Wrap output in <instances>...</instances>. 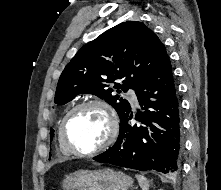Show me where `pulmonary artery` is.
Instances as JSON below:
<instances>
[{
    "label": "pulmonary artery",
    "instance_id": "1",
    "mask_svg": "<svg viewBox=\"0 0 221 190\" xmlns=\"http://www.w3.org/2000/svg\"><path fill=\"white\" fill-rule=\"evenodd\" d=\"M128 97L131 99V101H132V103H133L134 105H137V104H138L137 97H136V95H135L133 92L129 91V92H128Z\"/></svg>",
    "mask_w": 221,
    "mask_h": 190
}]
</instances>
